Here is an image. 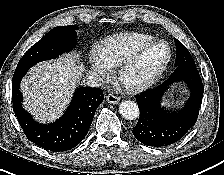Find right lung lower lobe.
<instances>
[{
    "label": "right lung lower lobe",
    "mask_w": 224,
    "mask_h": 175,
    "mask_svg": "<svg viewBox=\"0 0 224 175\" xmlns=\"http://www.w3.org/2000/svg\"><path fill=\"white\" fill-rule=\"evenodd\" d=\"M30 64L18 65L12 81L13 111L26 135L36 145L53 152L76 147L87 135L104 95L100 88L80 87L64 115L56 122L39 124L22 107L20 82Z\"/></svg>",
    "instance_id": "obj_1"
}]
</instances>
